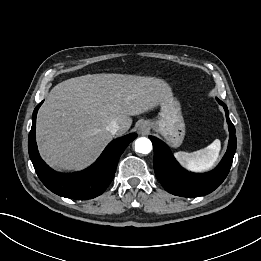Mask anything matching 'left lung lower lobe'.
Here are the masks:
<instances>
[{
	"instance_id": "obj_1",
	"label": "left lung lower lobe",
	"mask_w": 261,
	"mask_h": 261,
	"mask_svg": "<svg viewBox=\"0 0 261 261\" xmlns=\"http://www.w3.org/2000/svg\"><path fill=\"white\" fill-rule=\"evenodd\" d=\"M217 101L225 109L230 138L227 151L214 170L204 174L189 173L177 163L164 142L149 136L154 148L155 175L169 193L183 197L207 195L218 188L228 175L236 151L235 127L229 118L225 104L219 99Z\"/></svg>"
}]
</instances>
